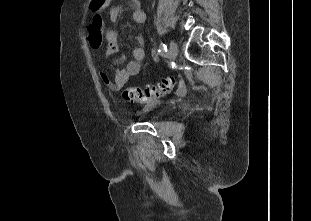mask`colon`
<instances>
[{
  "instance_id": "1",
  "label": "colon",
  "mask_w": 311,
  "mask_h": 221,
  "mask_svg": "<svg viewBox=\"0 0 311 221\" xmlns=\"http://www.w3.org/2000/svg\"><path fill=\"white\" fill-rule=\"evenodd\" d=\"M104 36V23L100 15H96L88 26L90 46L99 48ZM175 77H167L160 82L145 87H129L122 90V97L127 101L153 104L159 98L170 94L175 89Z\"/></svg>"
}]
</instances>
